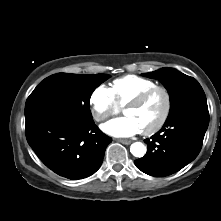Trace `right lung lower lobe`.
Returning a JSON list of instances; mask_svg holds the SVG:
<instances>
[{"label": "right lung lower lobe", "mask_w": 221, "mask_h": 221, "mask_svg": "<svg viewBox=\"0 0 221 221\" xmlns=\"http://www.w3.org/2000/svg\"><path fill=\"white\" fill-rule=\"evenodd\" d=\"M25 117L28 144L53 172L77 180L99 169L112 139L94 121L81 122L54 108L40 109Z\"/></svg>", "instance_id": "right-lung-lower-lobe-1"}]
</instances>
